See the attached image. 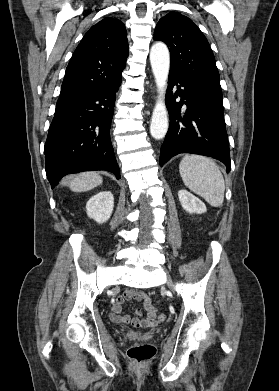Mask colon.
Returning <instances> with one entry per match:
<instances>
[{
    "mask_svg": "<svg viewBox=\"0 0 279 391\" xmlns=\"http://www.w3.org/2000/svg\"><path fill=\"white\" fill-rule=\"evenodd\" d=\"M166 316L164 314H160L158 316V320L160 322H164ZM155 354V348L146 343L135 344L128 350V356L131 360L137 363H144L150 360Z\"/></svg>",
    "mask_w": 279,
    "mask_h": 391,
    "instance_id": "1",
    "label": "colon"
}]
</instances>
